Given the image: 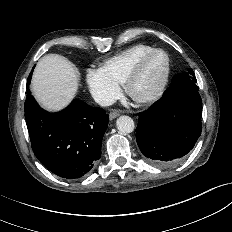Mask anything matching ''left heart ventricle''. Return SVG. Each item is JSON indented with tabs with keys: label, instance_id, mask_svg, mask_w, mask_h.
<instances>
[{
	"label": "left heart ventricle",
	"instance_id": "1",
	"mask_svg": "<svg viewBox=\"0 0 232 232\" xmlns=\"http://www.w3.org/2000/svg\"><path fill=\"white\" fill-rule=\"evenodd\" d=\"M165 66V58L162 54H155L144 65L139 77L133 85L136 95L149 93L158 83Z\"/></svg>",
	"mask_w": 232,
	"mask_h": 232
}]
</instances>
